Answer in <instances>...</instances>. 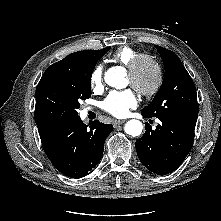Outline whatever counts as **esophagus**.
Returning a JSON list of instances; mask_svg holds the SVG:
<instances>
[{"label": "esophagus", "instance_id": "1", "mask_svg": "<svg viewBox=\"0 0 221 221\" xmlns=\"http://www.w3.org/2000/svg\"><path fill=\"white\" fill-rule=\"evenodd\" d=\"M124 122H125V120H115V121L113 122V125H114V126L121 125V124H123Z\"/></svg>", "mask_w": 221, "mask_h": 221}]
</instances>
